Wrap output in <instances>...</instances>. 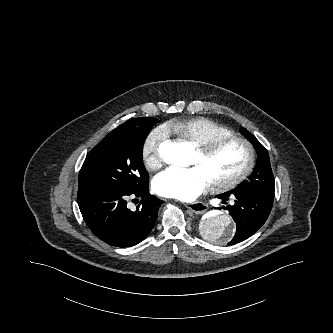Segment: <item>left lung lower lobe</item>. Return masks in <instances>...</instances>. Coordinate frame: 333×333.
<instances>
[{
	"label": "left lung lower lobe",
	"instance_id": "1",
	"mask_svg": "<svg viewBox=\"0 0 333 333\" xmlns=\"http://www.w3.org/2000/svg\"><path fill=\"white\" fill-rule=\"evenodd\" d=\"M230 196L235 198V204L228 205L227 209L236 222V233L228 244L233 245L253 235L265 223L274 197L253 192L230 191L217 195L223 201H227Z\"/></svg>",
	"mask_w": 333,
	"mask_h": 333
}]
</instances>
